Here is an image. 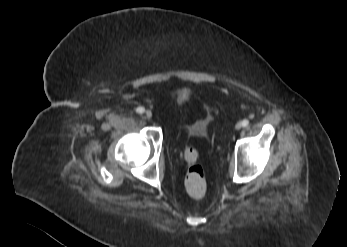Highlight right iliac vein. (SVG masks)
<instances>
[{"instance_id":"obj_1","label":"right iliac vein","mask_w":347,"mask_h":247,"mask_svg":"<svg viewBox=\"0 0 347 247\" xmlns=\"http://www.w3.org/2000/svg\"><path fill=\"white\" fill-rule=\"evenodd\" d=\"M145 116H146V118L150 119V118L152 117V112L149 111V110H147V111L145 112Z\"/></svg>"}]
</instances>
